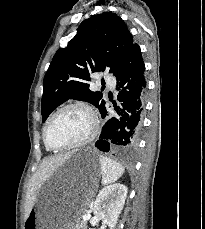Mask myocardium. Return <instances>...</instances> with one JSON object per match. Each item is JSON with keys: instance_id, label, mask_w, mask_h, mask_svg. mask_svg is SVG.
I'll list each match as a JSON object with an SVG mask.
<instances>
[{"instance_id": "obj_1", "label": "myocardium", "mask_w": 205, "mask_h": 229, "mask_svg": "<svg viewBox=\"0 0 205 229\" xmlns=\"http://www.w3.org/2000/svg\"><path fill=\"white\" fill-rule=\"evenodd\" d=\"M71 108H77V109H81L84 112H86L88 114V116L91 119V129L88 133V135L83 138L82 140L66 145V146H62V147H55L53 145H51L50 141H49V131L50 128L52 126V124L54 123V121L56 120V118L65 110L67 109H71ZM99 129V119L97 114L94 112V110L88 106L85 103L82 102H71V103H67L65 105H63L62 107H60L52 116L51 118L48 120L45 129H44V133H43V140L45 143V146L51 150V151H65V150H70V149H74V148H78V147H82L86 144H88L89 142H91L95 136L97 135Z\"/></svg>"}]
</instances>
